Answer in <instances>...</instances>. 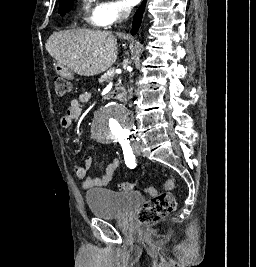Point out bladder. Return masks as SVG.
Wrapping results in <instances>:
<instances>
[{"label":"bladder","instance_id":"1","mask_svg":"<svg viewBox=\"0 0 256 267\" xmlns=\"http://www.w3.org/2000/svg\"><path fill=\"white\" fill-rule=\"evenodd\" d=\"M91 214L103 219L125 217L138 204L144 203L143 195H122L119 192L94 189L86 192Z\"/></svg>","mask_w":256,"mask_h":267}]
</instances>
